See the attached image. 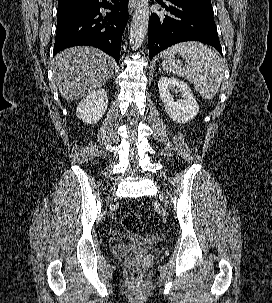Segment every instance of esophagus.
Returning a JSON list of instances; mask_svg holds the SVG:
<instances>
[{
	"instance_id": "esophagus-1",
	"label": "esophagus",
	"mask_w": 272,
	"mask_h": 303,
	"mask_svg": "<svg viewBox=\"0 0 272 303\" xmlns=\"http://www.w3.org/2000/svg\"><path fill=\"white\" fill-rule=\"evenodd\" d=\"M138 0H129L128 8L129 13L132 14L133 10L136 8Z\"/></svg>"
}]
</instances>
